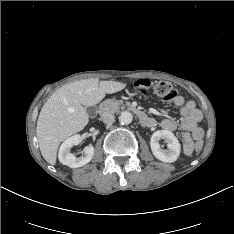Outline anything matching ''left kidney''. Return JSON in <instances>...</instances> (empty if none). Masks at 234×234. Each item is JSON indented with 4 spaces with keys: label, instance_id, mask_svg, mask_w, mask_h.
Segmentation results:
<instances>
[{
    "label": "left kidney",
    "instance_id": "1",
    "mask_svg": "<svg viewBox=\"0 0 234 234\" xmlns=\"http://www.w3.org/2000/svg\"><path fill=\"white\" fill-rule=\"evenodd\" d=\"M165 139L168 149H162L159 140ZM150 147L153 155L162 162L172 163L180 155L181 145L177 137L168 130L155 131L150 139Z\"/></svg>",
    "mask_w": 234,
    "mask_h": 234
}]
</instances>
